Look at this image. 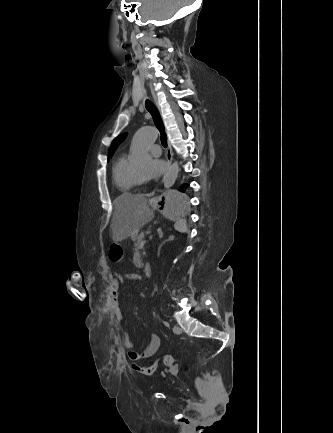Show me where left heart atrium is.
Masks as SVG:
<instances>
[{"instance_id":"39dd6f15","label":"left heart atrium","mask_w":333,"mask_h":433,"mask_svg":"<svg viewBox=\"0 0 333 433\" xmlns=\"http://www.w3.org/2000/svg\"><path fill=\"white\" fill-rule=\"evenodd\" d=\"M165 169H166L165 162L158 157H154L150 160V162L146 166L143 173V178L145 180L156 179L162 173H164Z\"/></svg>"}]
</instances>
